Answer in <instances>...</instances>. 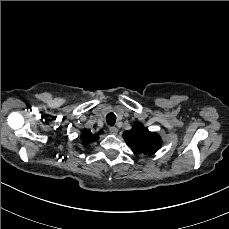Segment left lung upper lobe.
I'll return each instance as SVG.
<instances>
[{
	"label": "left lung upper lobe",
	"mask_w": 229,
	"mask_h": 229,
	"mask_svg": "<svg viewBox=\"0 0 229 229\" xmlns=\"http://www.w3.org/2000/svg\"><path fill=\"white\" fill-rule=\"evenodd\" d=\"M123 138L135 154L151 156L162 145L161 137L157 133L149 131L141 123H135L131 130L125 131Z\"/></svg>",
	"instance_id": "left-lung-upper-lobe-1"
}]
</instances>
